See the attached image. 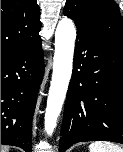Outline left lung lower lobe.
<instances>
[{
	"instance_id": "obj_1",
	"label": "left lung lower lobe",
	"mask_w": 123,
	"mask_h": 152,
	"mask_svg": "<svg viewBox=\"0 0 123 152\" xmlns=\"http://www.w3.org/2000/svg\"><path fill=\"white\" fill-rule=\"evenodd\" d=\"M59 151L86 141L123 144V47L79 22Z\"/></svg>"
}]
</instances>
